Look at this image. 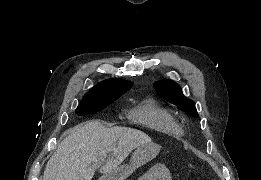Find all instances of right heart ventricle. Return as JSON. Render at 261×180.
<instances>
[{
    "label": "right heart ventricle",
    "mask_w": 261,
    "mask_h": 180,
    "mask_svg": "<svg viewBox=\"0 0 261 180\" xmlns=\"http://www.w3.org/2000/svg\"><path fill=\"white\" fill-rule=\"evenodd\" d=\"M125 118V121H142V126L128 127H139V131H148V133H166V138L138 139H156V142L178 141L185 134L177 118L152 98L130 105L125 111Z\"/></svg>",
    "instance_id": "e07e8e85"
}]
</instances>
